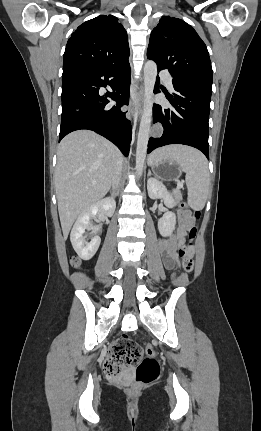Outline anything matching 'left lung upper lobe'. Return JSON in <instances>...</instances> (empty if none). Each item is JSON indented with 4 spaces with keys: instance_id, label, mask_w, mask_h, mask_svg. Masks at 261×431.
Returning a JSON list of instances; mask_svg holds the SVG:
<instances>
[{
    "instance_id": "left-lung-upper-lobe-1",
    "label": "left lung upper lobe",
    "mask_w": 261,
    "mask_h": 431,
    "mask_svg": "<svg viewBox=\"0 0 261 431\" xmlns=\"http://www.w3.org/2000/svg\"><path fill=\"white\" fill-rule=\"evenodd\" d=\"M147 58L159 69H168L174 80L212 87V67L205 43L196 31L178 18L163 16L153 29Z\"/></svg>"
}]
</instances>
